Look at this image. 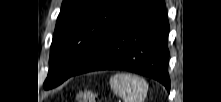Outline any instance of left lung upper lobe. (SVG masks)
Instances as JSON below:
<instances>
[{"label": "left lung upper lobe", "instance_id": "5c2ea615", "mask_svg": "<svg viewBox=\"0 0 221 102\" xmlns=\"http://www.w3.org/2000/svg\"><path fill=\"white\" fill-rule=\"evenodd\" d=\"M135 0H64L43 84L51 89L71 77Z\"/></svg>", "mask_w": 221, "mask_h": 102}]
</instances>
